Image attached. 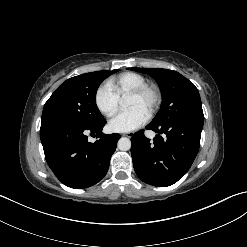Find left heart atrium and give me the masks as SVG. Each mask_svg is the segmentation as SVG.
Here are the masks:
<instances>
[{
    "instance_id": "1",
    "label": "left heart atrium",
    "mask_w": 247,
    "mask_h": 247,
    "mask_svg": "<svg viewBox=\"0 0 247 247\" xmlns=\"http://www.w3.org/2000/svg\"><path fill=\"white\" fill-rule=\"evenodd\" d=\"M148 119V113L140 107H131L116 114L109 121L114 132H130L142 126Z\"/></svg>"
}]
</instances>
